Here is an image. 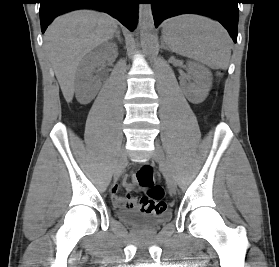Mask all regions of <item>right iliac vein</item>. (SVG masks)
Wrapping results in <instances>:
<instances>
[{"label": "right iliac vein", "mask_w": 279, "mask_h": 267, "mask_svg": "<svg viewBox=\"0 0 279 267\" xmlns=\"http://www.w3.org/2000/svg\"><path fill=\"white\" fill-rule=\"evenodd\" d=\"M127 162V153L125 149H122L117 157L115 169H114V180L117 181L123 172V169Z\"/></svg>", "instance_id": "obj_1"}]
</instances>
